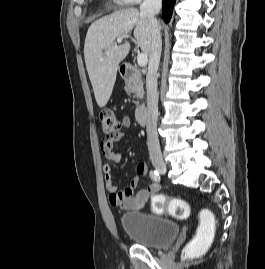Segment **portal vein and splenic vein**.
I'll list each match as a JSON object with an SVG mask.
<instances>
[{
	"label": "portal vein and splenic vein",
	"instance_id": "18ae733b",
	"mask_svg": "<svg viewBox=\"0 0 265 269\" xmlns=\"http://www.w3.org/2000/svg\"><path fill=\"white\" fill-rule=\"evenodd\" d=\"M123 38H117V43H121ZM137 63L140 67H145L148 63V56L145 53H139L137 56Z\"/></svg>",
	"mask_w": 265,
	"mask_h": 269
}]
</instances>
